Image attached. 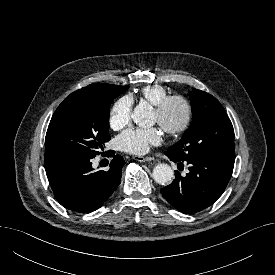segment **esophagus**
I'll return each instance as SVG.
<instances>
[{"label": "esophagus", "instance_id": "1", "mask_svg": "<svg viewBox=\"0 0 275 275\" xmlns=\"http://www.w3.org/2000/svg\"><path fill=\"white\" fill-rule=\"evenodd\" d=\"M134 159L139 162H148V161L154 160L153 158L143 157V156H134Z\"/></svg>", "mask_w": 275, "mask_h": 275}]
</instances>
